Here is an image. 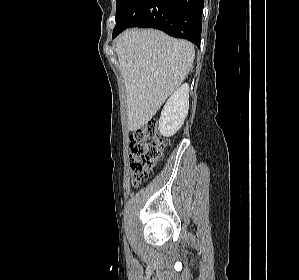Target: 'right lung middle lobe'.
<instances>
[{"mask_svg": "<svg viewBox=\"0 0 299 280\" xmlns=\"http://www.w3.org/2000/svg\"><path fill=\"white\" fill-rule=\"evenodd\" d=\"M123 1L124 0H117L116 1V13L118 12V10H119V8H120V6H121V4H122Z\"/></svg>", "mask_w": 299, "mask_h": 280, "instance_id": "1", "label": "right lung middle lobe"}]
</instances>
